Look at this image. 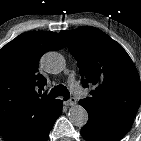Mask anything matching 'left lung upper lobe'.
Wrapping results in <instances>:
<instances>
[{"instance_id": "5c2ea615", "label": "left lung upper lobe", "mask_w": 141, "mask_h": 141, "mask_svg": "<svg viewBox=\"0 0 141 141\" xmlns=\"http://www.w3.org/2000/svg\"><path fill=\"white\" fill-rule=\"evenodd\" d=\"M60 34L78 62L83 86H96L80 104L95 114L133 119L140 105V78L121 45L94 27Z\"/></svg>"}]
</instances>
